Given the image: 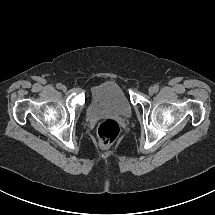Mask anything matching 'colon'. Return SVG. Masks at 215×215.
<instances>
[{"mask_svg":"<svg viewBox=\"0 0 215 215\" xmlns=\"http://www.w3.org/2000/svg\"><path fill=\"white\" fill-rule=\"evenodd\" d=\"M120 126L113 119H106L102 121L97 128V135L99 145L102 148L110 146L119 136Z\"/></svg>","mask_w":215,"mask_h":215,"instance_id":"colon-1","label":"colon"}]
</instances>
